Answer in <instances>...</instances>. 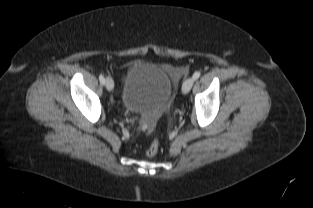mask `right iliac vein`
<instances>
[{
  "label": "right iliac vein",
  "instance_id": "63e3f726",
  "mask_svg": "<svg viewBox=\"0 0 313 208\" xmlns=\"http://www.w3.org/2000/svg\"><path fill=\"white\" fill-rule=\"evenodd\" d=\"M105 86H106V89H107L108 91H112V90H113V88H114V82H113L112 78L107 77V78L105 79Z\"/></svg>",
  "mask_w": 313,
  "mask_h": 208
}]
</instances>
